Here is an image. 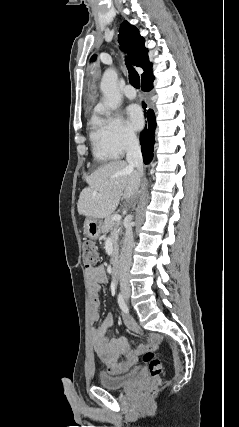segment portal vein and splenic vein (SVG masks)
<instances>
[{
	"label": "portal vein and splenic vein",
	"mask_w": 239,
	"mask_h": 427,
	"mask_svg": "<svg viewBox=\"0 0 239 427\" xmlns=\"http://www.w3.org/2000/svg\"><path fill=\"white\" fill-rule=\"evenodd\" d=\"M113 220H114L115 222H119V221L121 220V216H120V215H114V216H113Z\"/></svg>",
	"instance_id": "portal-vein-and-splenic-vein-1"
}]
</instances>
